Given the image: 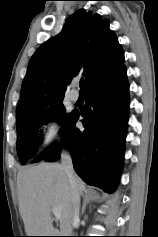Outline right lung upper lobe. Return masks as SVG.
<instances>
[{
    "label": "right lung upper lobe",
    "instance_id": "obj_1",
    "mask_svg": "<svg viewBox=\"0 0 158 237\" xmlns=\"http://www.w3.org/2000/svg\"><path fill=\"white\" fill-rule=\"evenodd\" d=\"M124 52L99 14L80 9L59 35L43 43L30 59L21 87L16 119L36 115L63 100L71 80L86 78V89L124 63Z\"/></svg>",
    "mask_w": 158,
    "mask_h": 237
}]
</instances>
